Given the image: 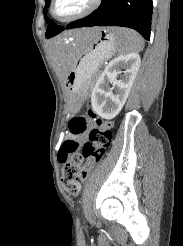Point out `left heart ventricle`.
<instances>
[{"instance_id":"obj_1","label":"left heart ventricle","mask_w":183,"mask_h":246,"mask_svg":"<svg viewBox=\"0 0 183 246\" xmlns=\"http://www.w3.org/2000/svg\"><path fill=\"white\" fill-rule=\"evenodd\" d=\"M90 0H57L55 4V14L59 18L72 16L82 11Z\"/></svg>"}]
</instances>
